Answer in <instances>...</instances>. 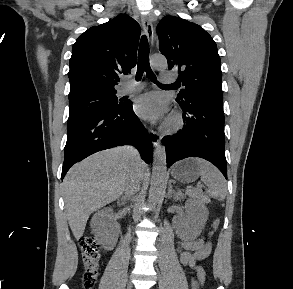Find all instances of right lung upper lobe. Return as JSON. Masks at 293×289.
Instances as JSON below:
<instances>
[{
    "instance_id": "right-lung-upper-lobe-1",
    "label": "right lung upper lobe",
    "mask_w": 293,
    "mask_h": 289,
    "mask_svg": "<svg viewBox=\"0 0 293 289\" xmlns=\"http://www.w3.org/2000/svg\"><path fill=\"white\" fill-rule=\"evenodd\" d=\"M139 36V24L126 15L80 35L70 58L69 102L116 93L119 75L128 74L136 64Z\"/></svg>"
}]
</instances>
